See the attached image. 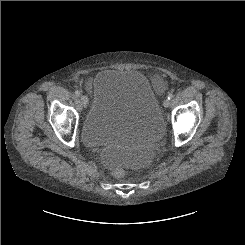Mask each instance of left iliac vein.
<instances>
[{"mask_svg": "<svg viewBox=\"0 0 245 245\" xmlns=\"http://www.w3.org/2000/svg\"><path fill=\"white\" fill-rule=\"evenodd\" d=\"M163 106L165 108H168L170 106V101L168 99H165L164 102H163Z\"/></svg>", "mask_w": 245, "mask_h": 245, "instance_id": "1", "label": "left iliac vein"}]
</instances>
